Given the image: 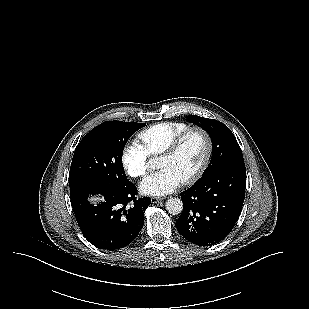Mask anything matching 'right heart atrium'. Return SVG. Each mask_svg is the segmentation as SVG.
<instances>
[{"instance_id": "right-heart-atrium-1", "label": "right heart atrium", "mask_w": 309, "mask_h": 309, "mask_svg": "<svg viewBox=\"0 0 309 309\" xmlns=\"http://www.w3.org/2000/svg\"><path fill=\"white\" fill-rule=\"evenodd\" d=\"M122 163L126 172L134 178L144 177L149 169V154L137 143H128L122 152Z\"/></svg>"}]
</instances>
